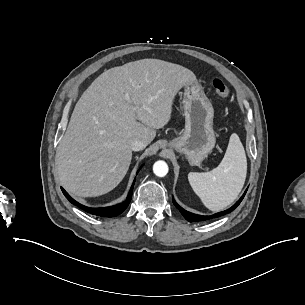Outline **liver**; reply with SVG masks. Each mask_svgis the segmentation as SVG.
<instances>
[{
    "mask_svg": "<svg viewBox=\"0 0 305 305\" xmlns=\"http://www.w3.org/2000/svg\"><path fill=\"white\" fill-rule=\"evenodd\" d=\"M193 84L190 70L153 59L104 72L78 101L59 144L64 188L84 197L113 190L129 169L131 142L151 143L170 122L176 95Z\"/></svg>",
    "mask_w": 305,
    "mask_h": 305,
    "instance_id": "obj_1",
    "label": "liver"
}]
</instances>
